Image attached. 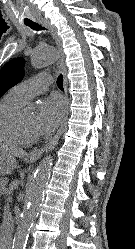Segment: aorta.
Masks as SVG:
<instances>
[{"instance_id": "762f6f07", "label": "aorta", "mask_w": 135, "mask_h": 249, "mask_svg": "<svg viewBox=\"0 0 135 249\" xmlns=\"http://www.w3.org/2000/svg\"><path fill=\"white\" fill-rule=\"evenodd\" d=\"M59 57L58 51L51 46L36 48L31 56L32 65L35 68H43L54 64ZM53 158L46 156L37 167L33 178L26 188V206L18 223L12 249H25L30 228L32 227L44 197Z\"/></svg>"}]
</instances>
